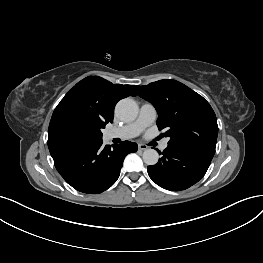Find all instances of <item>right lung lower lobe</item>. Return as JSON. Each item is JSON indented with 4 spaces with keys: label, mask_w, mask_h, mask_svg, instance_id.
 I'll return each mask as SVG.
<instances>
[{
    "label": "right lung lower lobe",
    "mask_w": 263,
    "mask_h": 263,
    "mask_svg": "<svg viewBox=\"0 0 263 263\" xmlns=\"http://www.w3.org/2000/svg\"><path fill=\"white\" fill-rule=\"evenodd\" d=\"M130 141L104 146L103 141L68 147L51 153L55 167L64 180L76 190L98 194L111 187L120 175L125 156L136 152Z\"/></svg>",
    "instance_id": "1"
}]
</instances>
